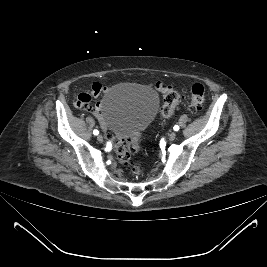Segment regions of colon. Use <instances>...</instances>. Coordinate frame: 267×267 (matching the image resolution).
<instances>
[{
    "label": "colon",
    "instance_id": "colon-1",
    "mask_svg": "<svg viewBox=\"0 0 267 267\" xmlns=\"http://www.w3.org/2000/svg\"><path fill=\"white\" fill-rule=\"evenodd\" d=\"M180 95L176 91L170 90L164 95L162 114L165 118L173 115V112L180 102ZM205 101V88L202 84L196 83L190 90V105L191 112H197L202 109ZM112 144L118 161L128 167L134 174L139 173V168L130 162L131 156L140 151V133H137L127 139L112 138Z\"/></svg>",
    "mask_w": 267,
    "mask_h": 267
}]
</instances>
